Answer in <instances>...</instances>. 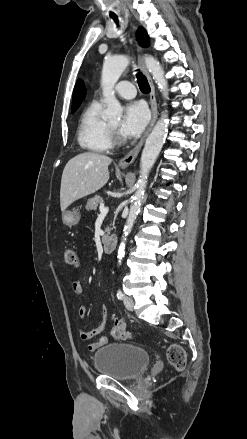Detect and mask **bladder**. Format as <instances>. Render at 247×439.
Returning a JSON list of instances; mask_svg holds the SVG:
<instances>
[{"instance_id": "31cf9c89", "label": "bladder", "mask_w": 247, "mask_h": 439, "mask_svg": "<svg viewBox=\"0 0 247 439\" xmlns=\"http://www.w3.org/2000/svg\"><path fill=\"white\" fill-rule=\"evenodd\" d=\"M149 364V353L141 347L130 344H109L94 355L96 371L118 380L136 379Z\"/></svg>"}]
</instances>
